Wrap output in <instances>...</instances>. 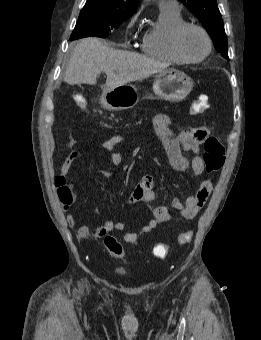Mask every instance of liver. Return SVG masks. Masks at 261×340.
<instances>
[{
	"instance_id": "liver-1",
	"label": "liver",
	"mask_w": 261,
	"mask_h": 340,
	"mask_svg": "<svg viewBox=\"0 0 261 340\" xmlns=\"http://www.w3.org/2000/svg\"><path fill=\"white\" fill-rule=\"evenodd\" d=\"M167 68V65L138 53L117 50L96 37L81 39L75 46L64 81L69 85H95L101 72L107 75L104 88L141 81Z\"/></svg>"
}]
</instances>
